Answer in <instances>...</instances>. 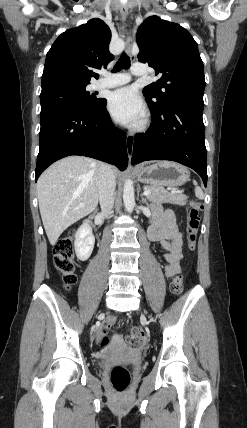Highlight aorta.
<instances>
[{
  "instance_id": "aorta-1",
  "label": "aorta",
  "mask_w": 247,
  "mask_h": 428,
  "mask_svg": "<svg viewBox=\"0 0 247 428\" xmlns=\"http://www.w3.org/2000/svg\"><path fill=\"white\" fill-rule=\"evenodd\" d=\"M123 47L120 48L122 50ZM123 202L126 210L131 213L135 206L134 188L131 180H126L123 188Z\"/></svg>"
}]
</instances>
